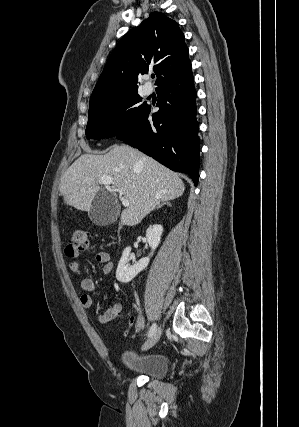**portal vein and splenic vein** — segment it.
Masks as SVG:
<instances>
[{
  "label": "portal vein and splenic vein",
  "instance_id": "portal-vein-and-splenic-vein-1",
  "mask_svg": "<svg viewBox=\"0 0 299 427\" xmlns=\"http://www.w3.org/2000/svg\"><path fill=\"white\" fill-rule=\"evenodd\" d=\"M99 183L104 184V185H110V184H112V180L110 178H102ZM119 198H120L123 206H125V207L129 206V201L127 199H125L120 192H119Z\"/></svg>",
  "mask_w": 299,
  "mask_h": 427
}]
</instances>
